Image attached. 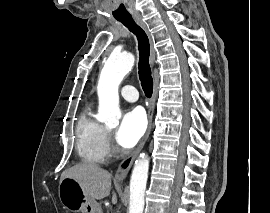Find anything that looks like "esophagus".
Returning <instances> with one entry per match:
<instances>
[{
  "label": "esophagus",
  "instance_id": "obj_1",
  "mask_svg": "<svg viewBox=\"0 0 270 213\" xmlns=\"http://www.w3.org/2000/svg\"><path fill=\"white\" fill-rule=\"evenodd\" d=\"M135 21L136 23L149 35L147 26L145 25V23L142 21V19L140 17H135ZM150 45H151V49H150V63L152 66H154L155 64V57H156V52L155 49L153 48V43L152 40L150 39ZM156 97H157V89H156V84L154 85V89H153V93H152V100H151V104L148 110V128L147 131L145 133V135L143 136L142 140L140 141L139 145L137 146V148L131 153L129 154L118 166V169L116 171L115 174V180L118 182H121L125 179V177L127 176L129 170L132 167V164L134 162V160L136 159V157L138 156V154L140 153V151L142 150V148L144 147L151 129H152V118H153V112H154V106H155V101H156Z\"/></svg>",
  "mask_w": 270,
  "mask_h": 213
}]
</instances>
